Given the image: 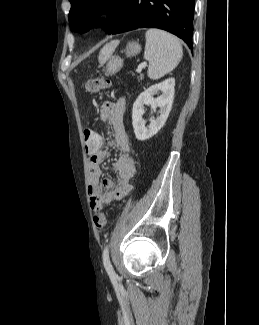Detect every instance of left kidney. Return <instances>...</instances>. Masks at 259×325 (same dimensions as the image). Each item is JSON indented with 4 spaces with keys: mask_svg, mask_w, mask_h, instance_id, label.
Here are the masks:
<instances>
[{
    "mask_svg": "<svg viewBox=\"0 0 259 325\" xmlns=\"http://www.w3.org/2000/svg\"><path fill=\"white\" fill-rule=\"evenodd\" d=\"M175 79L169 78L165 81L152 85L142 92L133 104L132 125L135 136L138 140L144 141L154 136L165 124L171 111L174 98ZM159 91L160 96L154 98ZM151 105L153 109L160 108V116L156 119L150 118V125L146 123L142 116L145 113L144 106Z\"/></svg>",
    "mask_w": 259,
    "mask_h": 325,
    "instance_id": "5707ae66",
    "label": "left kidney"
}]
</instances>
